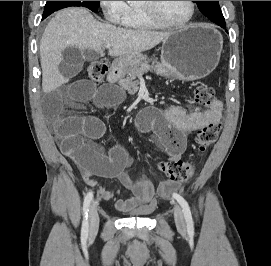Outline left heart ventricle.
Here are the masks:
<instances>
[{"mask_svg":"<svg viewBox=\"0 0 271 266\" xmlns=\"http://www.w3.org/2000/svg\"><path fill=\"white\" fill-rule=\"evenodd\" d=\"M160 16L172 23H180L187 19L190 12L188 1H154Z\"/></svg>","mask_w":271,"mask_h":266,"instance_id":"obj_1","label":"left heart ventricle"}]
</instances>
